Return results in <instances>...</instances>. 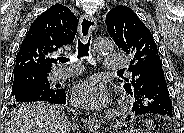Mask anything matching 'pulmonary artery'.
Listing matches in <instances>:
<instances>
[{"mask_svg":"<svg viewBox=\"0 0 184 133\" xmlns=\"http://www.w3.org/2000/svg\"><path fill=\"white\" fill-rule=\"evenodd\" d=\"M105 60L104 69L106 70H122L127 67V58L123 54L108 55ZM78 73H80V67L72 66L55 71L52 78L54 81H62Z\"/></svg>","mask_w":184,"mask_h":133,"instance_id":"e3ab8cb5","label":"pulmonary artery"}]
</instances>
